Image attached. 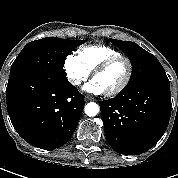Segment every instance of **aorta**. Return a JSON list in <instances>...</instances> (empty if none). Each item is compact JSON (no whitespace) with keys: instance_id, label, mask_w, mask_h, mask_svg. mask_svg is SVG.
Instances as JSON below:
<instances>
[{"instance_id":"obj_1","label":"aorta","mask_w":178,"mask_h":178,"mask_svg":"<svg viewBox=\"0 0 178 178\" xmlns=\"http://www.w3.org/2000/svg\"><path fill=\"white\" fill-rule=\"evenodd\" d=\"M85 114L89 117H94L99 113V106L97 103L90 102L84 108Z\"/></svg>"}]
</instances>
